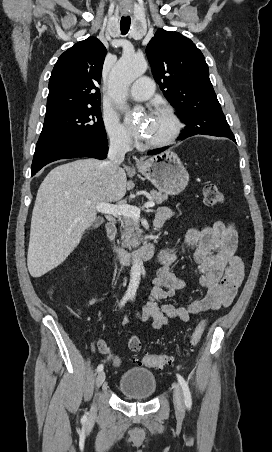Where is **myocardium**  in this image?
Wrapping results in <instances>:
<instances>
[{"label": "myocardium", "mask_w": 272, "mask_h": 452, "mask_svg": "<svg viewBox=\"0 0 272 452\" xmlns=\"http://www.w3.org/2000/svg\"><path fill=\"white\" fill-rule=\"evenodd\" d=\"M156 113L165 115L171 123V130L166 137L157 141H145L148 148H163L175 142L182 130V123L173 109L169 107H159Z\"/></svg>", "instance_id": "obj_1"}]
</instances>
